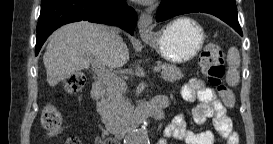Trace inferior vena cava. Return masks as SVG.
<instances>
[{"label": "inferior vena cava", "mask_w": 273, "mask_h": 144, "mask_svg": "<svg viewBox=\"0 0 273 144\" xmlns=\"http://www.w3.org/2000/svg\"><path fill=\"white\" fill-rule=\"evenodd\" d=\"M109 33H110L111 37L117 38L119 36L118 35L119 29L117 27H110L109 28Z\"/></svg>", "instance_id": "inferior-vena-cava-1"}]
</instances>
